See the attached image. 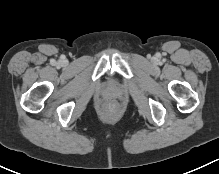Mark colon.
Returning a JSON list of instances; mask_svg holds the SVG:
<instances>
[{
  "instance_id": "colon-1",
  "label": "colon",
  "mask_w": 219,
  "mask_h": 174,
  "mask_svg": "<svg viewBox=\"0 0 219 174\" xmlns=\"http://www.w3.org/2000/svg\"><path fill=\"white\" fill-rule=\"evenodd\" d=\"M119 111V106L116 102H108L103 107V113L106 117H114Z\"/></svg>"
}]
</instances>
